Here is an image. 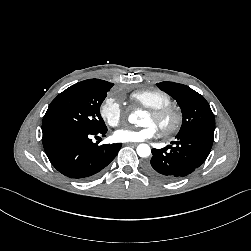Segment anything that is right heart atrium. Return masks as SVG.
<instances>
[{
    "label": "right heart atrium",
    "mask_w": 251,
    "mask_h": 251,
    "mask_svg": "<svg viewBox=\"0 0 251 251\" xmlns=\"http://www.w3.org/2000/svg\"><path fill=\"white\" fill-rule=\"evenodd\" d=\"M100 115L110 126H118L124 118L121 101L115 96L107 97L100 107Z\"/></svg>",
    "instance_id": "right-heart-atrium-1"
}]
</instances>
